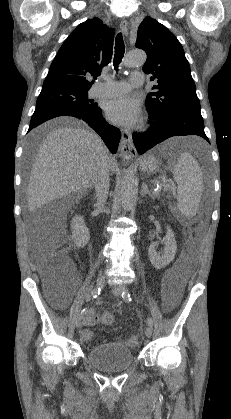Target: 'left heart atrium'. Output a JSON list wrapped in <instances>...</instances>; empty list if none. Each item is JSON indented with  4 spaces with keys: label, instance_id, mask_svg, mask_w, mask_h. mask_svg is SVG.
<instances>
[{
    "label": "left heart atrium",
    "instance_id": "left-heart-atrium-1",
    "mask_svg": "<svg viewBox=\"0 0 231 419\" xmlns=\"http://www.w3.org/2000/svg\"><path fill=\"white\" fill-rule=\"evenodd\" d=\"M106 116L116 125L132 127L140 118L139 104L127 96L114 99L106 106Z\"/></svg>",
    "mask_w": 231,
    "mask_h": 419
}]
</instances>
